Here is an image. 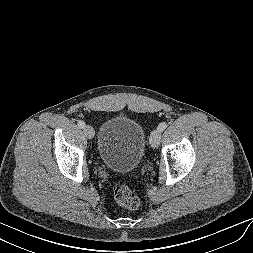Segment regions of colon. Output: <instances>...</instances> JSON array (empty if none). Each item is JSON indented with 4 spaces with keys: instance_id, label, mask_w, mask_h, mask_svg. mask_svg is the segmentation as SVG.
Wrapping results in <instances>:
<instances>
[{
    "instance_id": "1",
    "label": "colon",
    "mask_w": 253,
    "mask_h": 253,
    "mask_svg": "<svg viewBox=\"0 0 253 253\" xmlns=\"http://www.w3.org/2000/svg\"><path fill=\"white\" fill-rule=\"evenodd\" d=\"M116 202L127 209H135L139 206L140 200L137 192L130 186L118 185L114 190Z\"/></svg>"
}]
</instances>
